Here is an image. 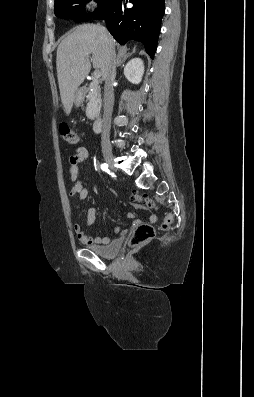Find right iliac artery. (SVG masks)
Returning a JSON list of instances; mask_svg holds the SVG:
<instances>
[{
	"label": "right iliac artery",
	"instance_id": "right-iliac-artery-1",
	"mask_svg": "<svg viewBox=\"0 0 254 397\" xmlns=\"http://www.w3.org/2000/svg\"><path fill=\"white\" fill-rule=\"evenodd\" d=\"M101 169H102L103 171L109 172L108 164H106V163L101 164Z\"/></svg>",
	"mask_w": 254,
	"mask_h": 397
}]
</instances>
